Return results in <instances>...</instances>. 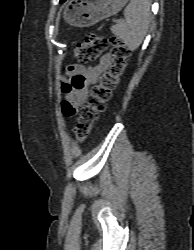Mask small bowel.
<instances>
[{"label": "small bowel", "instance_id": "1", "mask_svg": "<svg viewBox=\"0 0 194 250\" xmlns=\"http://www.w3.org/2000/svg\"><path fill=\"white\" fill-rule=\"evenodd\" d=\"M111 65V56L104 54L97 63L85 67L80 64L69 65L66 76L61 83L64 94L62 109L66 114L68 108H75L85 103L89 88L97 83L99 77Z\"/></svg>", "mask_w": 194, "mask_h": 250}]
</instances>
